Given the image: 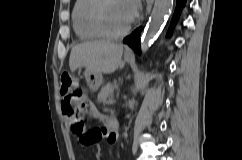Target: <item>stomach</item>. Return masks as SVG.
I'll return each mask as SVG.
<instances>
[{
    "instance_id": "1",
    "label": "stomach",
    "mask_w": 242,
    "mask_h": 160,
    "mask_svg": "<svg viewBox=\"0 0 242 160\" xmlns=\"http://www.w3.org/2000/svg\"><path fill=\"white\" fill-rule=\"evenodd\" d=\"M125 61L131 62L132 57L125 54ZM85 80L90 91L96 92L102 84L103 76L101 73L85 72Z\"/></svg>"
}]
</instances>
